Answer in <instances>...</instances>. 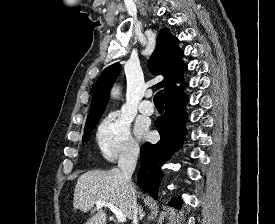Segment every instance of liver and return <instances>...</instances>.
Returning a JSON list of instances; mask_svg holds the SVG:
<instances>
[{"instance_id": "obj_1", "label": "liver", "mask_w": 275, "mask_h": 224, "mask_svg": "<svg viewBox=\"0 0 275 224\" xmlns=\"http://www.w3.org/2000/svg\"><path fill=\"white\" fill-rule=\"evenodd\" d=\"M99 200L112 203L126 218L132 219L130 193L120 169L92 170L78 178L74 190V208L87 212L93 209L95 202ZM106 221V213L101 207L97 208V213L87 220L86 224H106Z\"/></svg>"}]
</instances>
